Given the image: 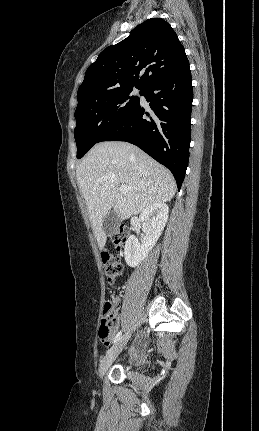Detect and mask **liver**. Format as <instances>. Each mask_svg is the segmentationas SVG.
<instances>
[{
    "instance_id": "liver-1",
    "label": "liver",
    "mask_w": 259,
    "mask_h": 431,
    "mask_svg": "<svg viewBox=\"0 0 259 431\" xmlns=\"http://www.w3.org/2000/svg\"><path fill=\"white\" fill-rule=\"evenodd\" d=\"M98 247L105 246L103 222L111 210L121 220L155 203L170 201L176 192L171 172L138 147L121 141L96 144L76 170ZM120 184L130 187L119 191Z\"/></svg>"
}]
</instances>
